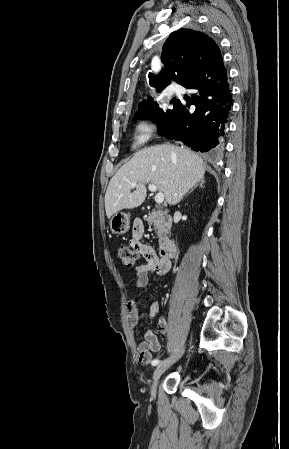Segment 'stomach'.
<instances>
[{
  "instance_id": "0dacf381",
  "label": "stomach",
  "mask_w": 289,
  "mask_h": 449,
  "mask_svg": "<svg viewBox=\"0 0 289 449\" xmlns=\"http://www.w3.org/2000/svg\"><path fill=\"white\" fill-rule=\"evenodd\" d=\"M130 228V220L128 214L124 212L115 213L110 219V229L113 233L122 235Z\"/></svg>"
}]
</instances>
